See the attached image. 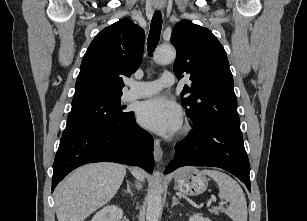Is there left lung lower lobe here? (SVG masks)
<instances>
[{"label": "left lung lower lobe", "instance_id": "0a47b994", "mask_svg": "<svg viewBox=\"0 0 307 221\" xmlns=\"http://www.w3.org/2000/svg\"><path fill=\"white\" fill-rule=\"evenodd\" d=\"M182 166L222 168L238 177L251 191L250 164L242 137L217 127L197 129L175 145L174 159L165 173Z\"/></svg>", "mask_w": 307, "mask_h": 221}]
</instances>
